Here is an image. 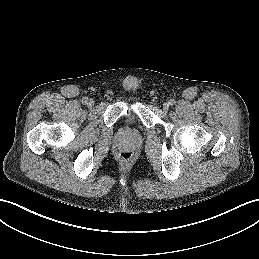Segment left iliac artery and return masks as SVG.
Returning a JSON list of instances; mask_svg holds the SVG:
<instances>
[{"instance_id": "obj_1", "label": "left iliac artery", "mask_w": 259, "mask_h": 259, "mask_svg": "<svg viewBox=\"0 0 259 259\" xmlns=\"http://www.w3.org/2000/svg\"><path fill=\"white\" fill-rule=\"evenodd\" d=\"M169 104L170 105H174L175 104V100L174 99H170Z\"/></svg>"}]
</instances>
